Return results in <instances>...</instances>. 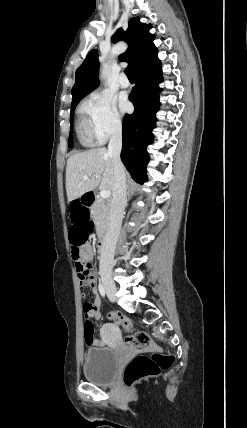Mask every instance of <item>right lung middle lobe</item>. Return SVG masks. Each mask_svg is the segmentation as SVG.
<instances>
[{"mask_svg":"<svg viewBox=\"0 0 247 428\" xmlns=\"http://www.w3.org/2000/svg\"><path fill=\"white\" fill-rule=\"evenodd\" d=\"M78 103L79 102L71 105V111H70V135H69V140H68L69 147L72 146L73 116H74L75 107L77 106Z\"/></svg>","mask_w":247,"mask_h":428,"instance_id":"dd1d6c3e","label":"right lung middle lobe"}]
</instances>
